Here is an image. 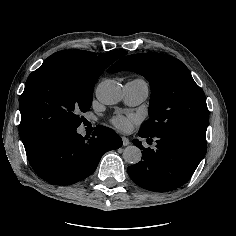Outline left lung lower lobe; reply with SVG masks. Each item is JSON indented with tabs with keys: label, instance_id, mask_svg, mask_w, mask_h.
Segmentation results:
<instances>
[{
	"label": "left lung lower lobe",
	"instance_id": "left-lung-lower-lobe-1",
	"mask_svg": "<svg viewBox=\"0 0 236 236\" xmlns=\"http://www.w3.org/2000/svg\"><path fill=\"white\" fill-rule=\"evenodd\" d=\"M140 137H152L138 133ZM156 148H144L134 139L135 146L142 149V158L137 164L127 168L130 178L140 187L167 192L185 184L207 151L206 140L193 136L162 132L153 136Z\"/></svg>",
	"mask_w": 236,
	"mask_h": 236
}]
</instances>
